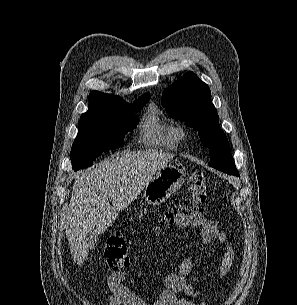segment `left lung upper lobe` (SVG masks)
I'll return each instance as SVG.
<instances>
[{
    "instance_id": "1",
    "label": "left lung upper lobe",
    "mask_w": 297,
    "mask_h": 305,
    "mask_svg": "<svg viewBox=\"0 0 297 305\" xmlns=\"http://www.w3.org/2000/svg\"><path fill=\"white\" fill-rule=\"evenodd\" d=\"M161 103L170 117L185 121L198 132L202 143L209 148L211 167L239 175L207 84L189 71L164 90Z\"/></svg>"
}]
</instances>
